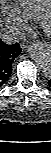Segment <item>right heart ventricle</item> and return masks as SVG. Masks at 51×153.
<instances>
[{
  "label": "right heart ventricle",
  "instance_id": "1",
  "mask_svg": "<svg viewBox=\"0 0 51 153\" xmlns=\"http://www.w3.org/2000/svg\"><path fill=\"white\" fill-rule=\"evenodd\" d=\"M19 3L28 20H40L51 9V0H19Z\"/></svg>",
  "mask_w": 51,
  "mask_h": 153
}]
</instances>
